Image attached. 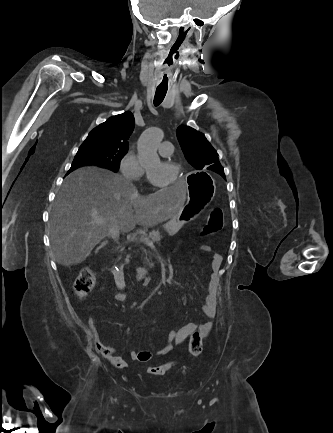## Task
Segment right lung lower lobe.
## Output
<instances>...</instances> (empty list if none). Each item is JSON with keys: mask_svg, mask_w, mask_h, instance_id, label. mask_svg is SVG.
Returning a JSON list of instances; mask_svg holds the SVG:
<instances>
[{"mask_svg": "<svg viewBox=\"0 0 333 433\" xmlns=\"http://www.w3.org/2000/svg\"><path fill=\"white\" fill-rule=\"evenodd\" d=\"M85 165H89V164H85ZM85 165H72L70 170L68 171V173H70L71 171H73L74 169L81 167V166H85Z\"/></svg>", "mask_w": 333, "mask_h": 433, "instance_id": "1", "label": "right lung lower lobe"}]
</instances>
